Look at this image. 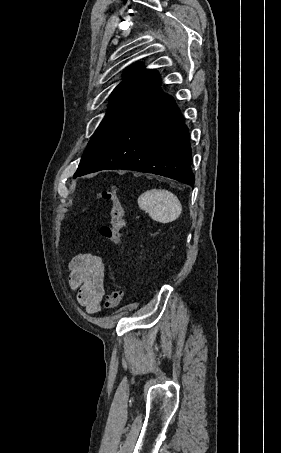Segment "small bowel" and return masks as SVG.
Here are the masks:
<instances>
[{"mask_svg":"<svg viewBox=\"0 0 281 453\" xmlns=\"http://www.w3.org/2000/svg\"><path fill=\"white\" fill-rule=\"evenodd\" d=\"M105 268L102 258L93 253H81L70 262L69 285L77 291L78 303L89 314L101 310Z\"/></svg>","mask_w":281,"mask_h":453,"instance_id":"small-bowel-1","label":"small bowel"}]
</instances>
